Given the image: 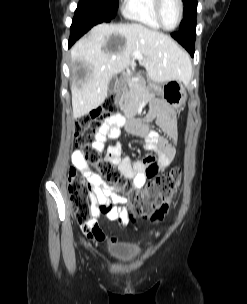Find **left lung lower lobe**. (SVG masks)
Masks as SVG:
<instances>
[{
  "mask_svg": "<svg viewBox=\"0 0 247 304\" xmlns=\"http://www.w3.org/2000/svg\"><path fill=\"white\" fill-rule=\"evenodd\" d=\"M185 49L194 55V42L196 36V24L181 28L180 31L171 34Z\"/></svg>",
  "mask_w": 247,
  "mask_h": 304,
  "instance_id": "left-lung-lower-lobe-1",
  "label": "left lung lower lobe"
}]
</instances>
